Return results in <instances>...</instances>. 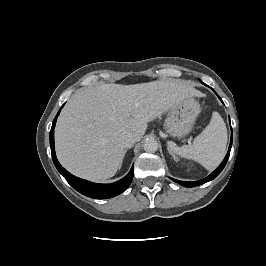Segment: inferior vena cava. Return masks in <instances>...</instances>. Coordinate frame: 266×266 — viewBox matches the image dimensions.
I'll use <instances>...</instances> for the list:
<instances>
[{"label":"inferior vena cava","mask_w":266,"mask_h":266,"mask_svg":"<svg viewBox=\"0 0 266 266\" xmlns=\"http://www.w3.org/2000/svg\"><path fill=\"white\" fill-rule=\"evenodd\" d=\"M136 141V137L132 134H126L122 137V145L124 148H131Z\"/></svg>","instance_id":"1"}]
</instances>
